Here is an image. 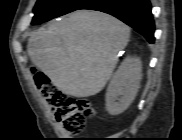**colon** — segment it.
Wrapping results in <instances>:
<instances>
[{"instance_id": "obj_1", "label": "colon", "mask_w": 182, "mask_h": 140, "mask_svg": "<svg viewBox=\"0 0 182 140\" xmlns=\"http://www.w3.org/2000/svg\"><path fill=\"white\" fill-rule=\"evenodd\" d=\"M34 79L39 92L50 103L63 128L71 134L82 132L86 119L94 115L91 103L86 99L65 96L42 73H36Z\"/></svg>"}]
</instances>
